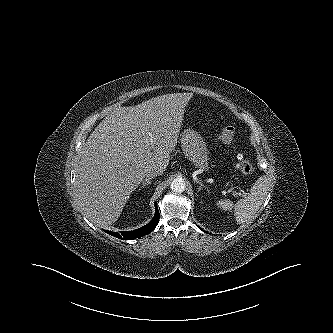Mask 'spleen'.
Here are the masks:
<instances>
[{
    "label": "spleen",
    "mask_w": 333,
    "mask_h": 333,
    "mask_svg": "<svg viewBox=\"0 0 333 333\" xmlns=\"http://www.w3.org/2000/svg\"><path fill=\"white\" fill-rule=\"evenodd\" d=\"M270 188L266 176H261L251 187L250 193L240 199L235 205L230 200L218 201V206L223 210L235 209L236 222L239 224L251 222L260 209Z\"/></svg>",
    "instance_id": "spleen-1"
}]
</instances>
